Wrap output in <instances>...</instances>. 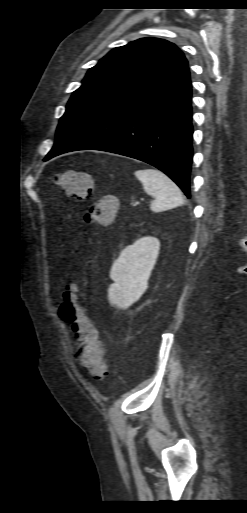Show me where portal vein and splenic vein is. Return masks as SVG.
<instances>
[{
    "instance_id": "1",
    "label": "portal vein and splenic vein",
    "mask_w": 247,
    "mask_h": 513,
    "mask_svg": "<svg viewBox=\"0 0 247 513\" xmlns=\"http://www.w3.org/2000/svg\"><path fill=\"white\" fill-rule=\"evenodd\" d=\"M135 204H139V202H135Z\"/></svg>"
}]
</instances>
